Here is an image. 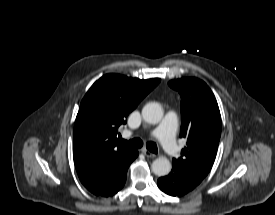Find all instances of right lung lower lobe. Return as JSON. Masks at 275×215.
<instances>
[{
  "mask_svg": "<svg viewBox=\"0 0 275 215\" xmlns=\"http://www.w3.org/2000/svg\"><path fill=\"white\" fill-rule=\"evenodd\" d=\"M137 156L138 152L133 150L125 156L99 162L78 175L79 179L93 194L103 197L112 196L124 186L128 167Z\"/></svg>",
  "mask_w": 275,
  "mask_h": 215,
  "instance_id": "right-lung-lower-lobe-1",
  "label": "right lung lower lobe"
}]
</instances>
